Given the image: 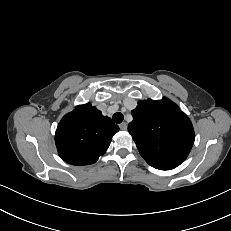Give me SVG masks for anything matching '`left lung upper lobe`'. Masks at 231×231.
<instances>
[{"mask_svg": "<svg viewBox=\"0 0 231 231\" xmlns=\"http://www.w3.org/2000/svg\"><path fill=\"white\" fill-rule=\"evenodd\" d=\"M128 131L152 167L171 170L188 156L195 133L190 119L168 98L143 100L131 111Z\"/></svg>", "mask_w": 231, "mask_h": 231, "instance_id": "obj_1", "label": "left lung upper lobe"}]
</instances>
